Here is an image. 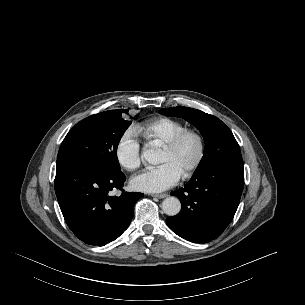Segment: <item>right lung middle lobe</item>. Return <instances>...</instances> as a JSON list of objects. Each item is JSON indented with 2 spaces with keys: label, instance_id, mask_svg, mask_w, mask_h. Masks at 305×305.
Returning a JSON list of instances; mask_svg holds the SVG:
<instances>
[{
  "label": "right lung middle lobe",
  "instance_id": "dd1d6c3e",
  "mask_svg": "<svg viewBox=\"0 0 305 305\" xmlns=\"http://www.w3.org/2000/svg\"><path fill=\"white\" fill-rule=\"evenodd\" d=\"M128 110H110L89 116L76 124L64 138L57 168H86L106 173L120 172L119 141L131 121L122 118Z\"/></svg>",
  "mask_w": 305,
  "mask_h": 305
}]
</instances>
